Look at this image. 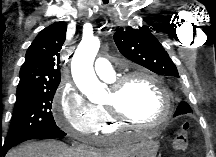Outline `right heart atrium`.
<instances>
[{"label":"right heart atrium","mask_w":216,"mask_h":157,"mask_svg":"<svg viewBox=\"0 0 216 157\" xmlns=\"http://www.w3.org/2000/svg\"><path fill=\"white\" fill-rule=\"evenodd\" d=\"M53 115L58 126L70 135L90 136L98 131L100 116L97 106L71 84L61 85L57 90Z\"/></svg>","instance_id":"right-heart-atrium-1"}]
</instances>
